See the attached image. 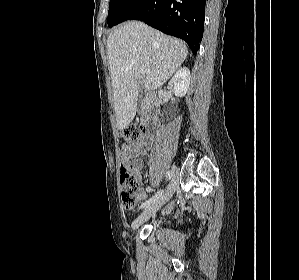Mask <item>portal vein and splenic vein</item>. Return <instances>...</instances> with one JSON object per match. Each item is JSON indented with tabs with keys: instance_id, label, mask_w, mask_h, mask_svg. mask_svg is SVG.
Instances as JSON below:
<instances>
[{
	"instance_id": "1",
	"label": "portal vein and splenic vein",
	"mask_w": 299,
	"mask_h": 280,
	"mask_svg": "<svg viewBox=\"0 0 299 280\" xmlns=\"http://www.w3.org/2000/svg\"><path fill=\"white\" fill-rule=\"evenodd\" d=\"M140 73H141V75H148L151 73V71L149 69L142 68V69H140Z\"/></svg>"
}]
</instances>
